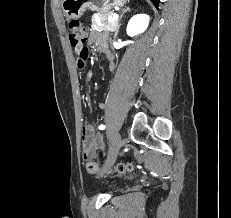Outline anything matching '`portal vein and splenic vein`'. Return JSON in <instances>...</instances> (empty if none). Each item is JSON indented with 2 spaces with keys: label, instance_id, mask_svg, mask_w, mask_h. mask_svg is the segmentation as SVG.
Segmentation results:
<instances>
[{
  "label": "portal vein and splenic vein",
  "instance_id": "18ae733b",
  "mask_svg": "<svg viewBox=\"0 0 231 218\" xmlns=\"http://www.w3.org/2000/svg\"><path fill=\"white\" fill-rule=\"evenodd\" d=\"M118 15L117 14H115L113 17H110L109 18V23H112V22H114V21H117L118 20Z\"/></svg>",
  "mask_w": 231,
  "mask_h": 218
}]
</instances>
